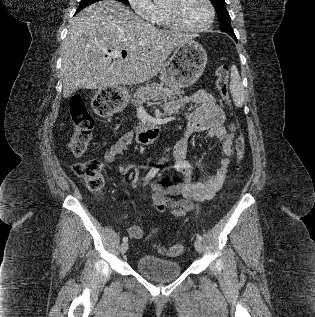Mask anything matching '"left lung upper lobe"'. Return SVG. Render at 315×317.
Wrapping results in <instances>:
<instances>
[{
    "instance_id": "obj_1",
    "label": "left lung upper lobe",
    "mask_w": 315,
    "mask_h": 317,
    "mask_svg": "<svg viewBox=\"0 0 315 317\" xmlns=\"http://www.w3.org/2000/svg\"><path fill=\"white\" fill-rule=\"evenodd\" d=\"M210 1L217 12L218 19L220 21L221 31L226 32L230 36L235 35L231 27V18L229 16V13L226 10L225 0H210Z\"/></svg>"
}]
</instances>
